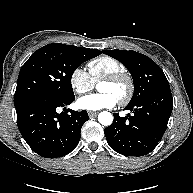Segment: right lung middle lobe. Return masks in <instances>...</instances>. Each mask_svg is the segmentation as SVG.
Returning <instances> with one entry per match:
<instances>
[{"instance_id":"right-lung-middle-lobe-1","label":"right lung middle lobe","mask_w":193,"mask_h":193,"mask_svg":"<svg viewBox=\"0 0 193 193\" xmlns=\"http://www.w3.org/2000/svg\"><path fill=\"white\" fill-rule=\"evenodd\" d=\"M96 56L98 54L90 49L60 43L40 48L20 70L14 94L15 106L40 95L74 99L73 72L83 62Z\"/></svg>"}]
</instances>
